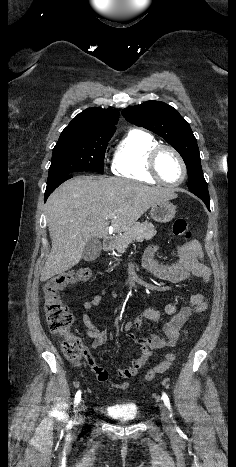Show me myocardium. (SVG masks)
<instances>
[{
    "mask_svg": "<svg viewBox=\"0 0 236 467\" xmlns=\"http://www.w3.org/2000/svg\"><path fill=\"white\" fill-rule=\"evenodd\" d=\"M163 151H170L173 153L176 158L179 160L181 167H182V177L178 182L175 183H169L166 182L162 176L160 175L159 169H158V160ZM148 171L150 175L159 183L168 186V187H178L181 184L184 183L186 177H187V165L185 163L184 158L182 155L172 146L170 145H158L155 148H153L148 156Z\"/></svg>",
    "mask_w": 236,
    "mask_h": 467,
    "instance_id": "1",
    "label": "myocardium"
}]
</instances>
